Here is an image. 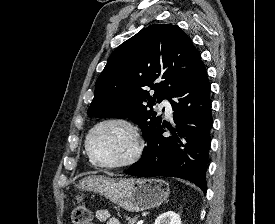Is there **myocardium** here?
<instances>
[{"instance_id":"myocardium-1","label":"myocardium","mask_w":275,"mask_h":224,"mask_svg":"<svg viewBox=\"0 0 275 224\" xmlns=\"http://www.w3.org/2000/svg\"><path fill=\"white\" fill-rule=\"evenodd\" d=\"M107 124H120L125 126L131 133L133 142H134V149L131 155L123 161L117 163H103L99 161L95 155L93 154L90 146V140L94 132L99 129L100 127L107 125ZM85 150L89 157V159L93 162L94 165L106 168V169H117V168H124L134 164L140 158L142 151H143V140L139 133L138 128L128 119L122 117H108L105 119L100 120L96 124H94L91 129L88 131L86 138H85Z\"/></svg>"}]
</instances>
